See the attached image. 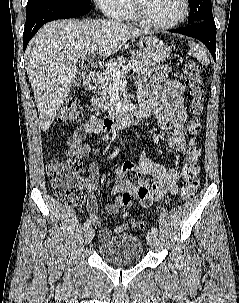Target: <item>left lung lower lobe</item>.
I'll return each instance as SVG.
<instances>
[{"label": "left lung lower lobe", "instance_id": "1", "mask_svg": "<svg viewBox=\"0 0 239 303\" xmlns=\"http://www.w3.org/2000/svg\"><path fill=\"white\" fill-rule=\"evenodd\" d=\"M170 32L183 34L200 40L206 45L216 61V26L214 19L199 21L184 28L170 30Z\"/></svg>", "mask_w": 239, "mask_h": 303}]
</instances>
